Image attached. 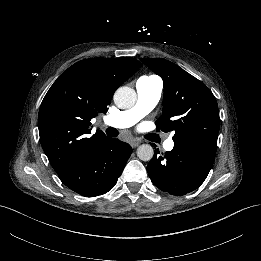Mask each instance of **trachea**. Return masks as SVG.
<instances>
[{"instance_id":"obj_1","label":"trachea","mask_w":261,"mask_h":261,"mask_svg":"<svg viewBox=\"0 0 261 261\" xmlns=\"http://www.w3.org/2000/svg\"><path fill=\"white\" fill-rule=\"evenodd\" d=\"M106 134L110 137H117L118 136V130L115 128H107L105 130Z\"/></svg>"}]
</instances>
